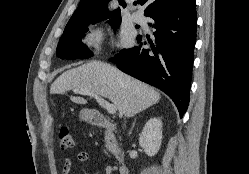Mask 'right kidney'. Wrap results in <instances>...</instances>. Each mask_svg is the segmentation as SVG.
<instances>
[{"mask_svg":"<svg viewBox=\"0 0 249 174\" xmlns=\"http://www.w3.org/2000/svg\"><path fill=\"white\" fill-rule=\"evenodd\" d=\"M162 142V120L151 118L144 126L139 137V144L148 156H154Z\"/></svg>","mask_w":249,"mask_h":174,"instance_id":"1","label":"right kidney"}]
</instances>
